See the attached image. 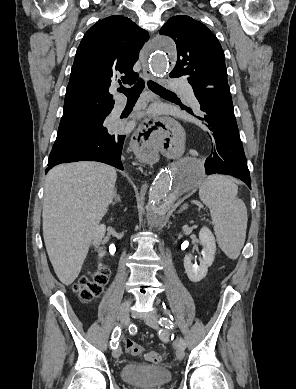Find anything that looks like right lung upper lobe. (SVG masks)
<instances>
[{
	"instance_id": "obj_1",
	"label": "right lung upper lobe",
	"mask_w": 296,
	"mask_h": 389,
	"mask_svg": "<svg viewBox=\"0 0 296 389\" xmlns=\"http://www.w3.org/2000/svg\"><path fill=\"white\" fill-rule=\"evenodd\" d=\"M149 34L124 16L98 21L84 35L75 55L67 86L63 117L109 114L114 106L109 88L133 84V66Z\"/></svg>"
}]
</instances>
